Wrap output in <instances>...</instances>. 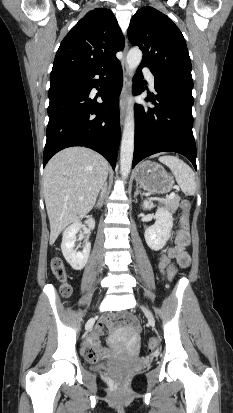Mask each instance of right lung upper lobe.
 <instances>
[{"instance_id": "right-lung-upper-lobe-1", "label": "right lung upper lobe", "mask_w": 233, "mask_h": 413, "mask_svg": "<svg viewBox=\"0 0 233 413\" xmlns=\"http://www.w3.org/2000/svg\"><path fill=\"white\" fill-rule=\"evenodd\" d=\"M125 41L113 13L89 11L65 36L56 53L50 79L81 73L117 59Z\"/></svg>"}]
</instances>
